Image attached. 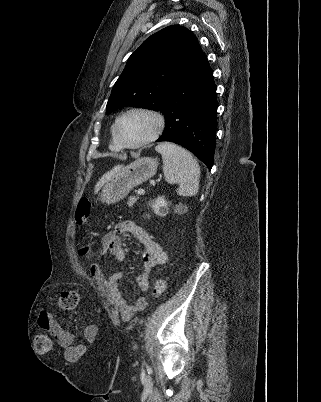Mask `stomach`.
<instances>
[{
	"instance_id": "stomach-1",
	"label": "stomach",
	"mask_w": 321,
	"mask_h": 402,
	"mask_svg": "<svg viewBox=\"0 0 321 402\" xmlns=\"http://www.w3.org/2000/svg\"><path fill=\"white\" fill-rule=\"evenodd\" d=\"M158 161L152 157L138 158L112 175L101 187V202L112 204L125 198L131 189L153 177Z\"/></svg>"
}]
</instances>
